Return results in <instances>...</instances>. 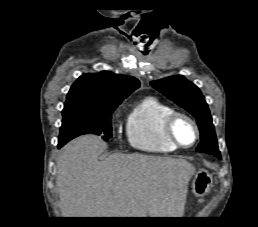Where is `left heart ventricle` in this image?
Wrapping results in <instances>:
<instances>
[{
  "instance_id": "left-heart-ventricle-1",
  "label": "left heart ventricle",
  "mask_w": 258,
  "mask_h": 227,
  "mask_svg": "<svg viewBox=\"0 0 258 227\" xmlns=\"http://www.w3.org/2000/svg\"><path fill=\"white\" fill-rule=\"evenodd\" d=\"M174 133L177 139L184 145H190L195 138V131L192 125L184 119H178L176 121Z\"/></svg>"
}]
</instances>
